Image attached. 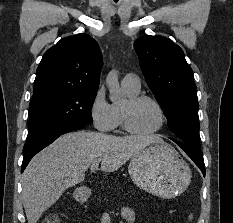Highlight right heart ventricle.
<instances>
[{
	"label": "right heart ventricle",
	"instance_id": "obj_1",
	"mask_svg": "<svg viewBox=\"0 0 233 223\" xmlns=\"http://www.w3.org/2000/svg\"><path fill=\"white\" fill-rule=\"evenodd\" d=\"M123 90H124L127 98L136 96L140 92V88L139 89L123 88ZM113 111H114V116H115L116 127L124 128L123 127V121H122V105L114 104L113 105Z\"/></svg>",
	"mask_w": 233,
	"mask_h": 223
}]
</instances>
